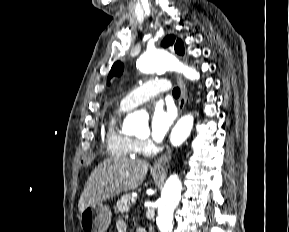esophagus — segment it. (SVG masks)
Segmentation results:
<instances>
[{
  "instance_id": "obj_1",
  "label": "esophagus",
  "mask_w": 289,
  "mask_h": 232,
  "mask_svg": "<svg viewBox=\"0 0 289 232\" xmlns=\"http://www.w3.org/2000/svg\"><path fill=\"white\" fill-rule=\"evenodd\" d=\"M177 79V83L180 87L181 90V95H180V99H179V103H178V114H182L184 107L186 105L187 102V88L186 85L183 81V79L180 76L176 77ZM171 149L168 148L166 150V152L154 163L153 165V169L154 170H161L164 169L166 163L170 160L171 158Z\"/></svg>"
}]
</instances>
